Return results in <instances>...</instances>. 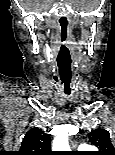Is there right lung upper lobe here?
<instances>
[{
    "mask_svg": "<svg viewBox=\"0 0 115 155\" xmlns=\"http://www.w3.org/2000/svg\"><path fill=\"white\" fill-rule=\"evenodd\" d=\"M50 137L39 128L30 129L23 138L17 155H53Z\"/></svg>",
    "mask_w": 115,
    "mask_h": 155,
    "instance_id": "1",
    "label": "right lung upper lobe"
}]
</instances>
